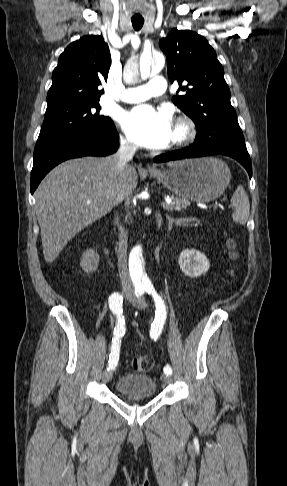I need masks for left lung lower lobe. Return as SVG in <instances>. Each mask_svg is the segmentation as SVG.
Masks as SVG:
<instances>
[{
    "instance_id": "1",
    "label": "left lung lower lobe",
    "mask_w": 287,
    "mask_h": 486,
    "mask_svg": "<svg viewBox=\"0 0 287 486\" xmlns=\"http://www.w3.org/2000/svg\"><path fill=\"white\" fill-rule=\"evenodd\" d=\"M217 154L232 157L238 162H240L245 167V169L247 170L251 178L252 166H251V160L247 150L192 145L188 148H184L181 150H177V151H173L170 153L157 156L154 158V161L159 163V162H166L171 160H180L185 158L203 157V156L217 155Z\"/></svg>"
}]
</instances>
